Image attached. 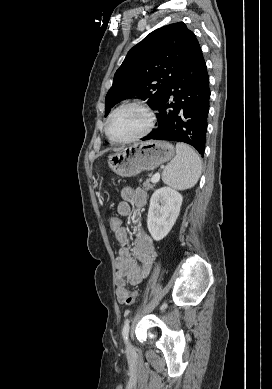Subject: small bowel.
I'll return each instance as SVG.
<instances>
[{
    "mask_svg": "<svg viewBox=\"0 0 272 389\" xmlns=\"http://www.w3.org/2000/svg\"><path fill=\"white\" fill-rule=\"evenodd\" d=\"M122 201L117 206L118 215L131 217L138 224V230L132 245L129 243V231L121 227L115 237L120 245L116 264V296L120 303L129 294V286H137L148 277L151 272L157 252L152 238L141 227V209L146 204L147 194L141 188L126 186L121 191ZM132 206L135 207L132 210ZM138 261V262H137Z\"/></svg>",
    "mask_w": 272,
    "mask_h": 389,
    "instance_id": "obj_1",
    "label": "small bowel"
}]
</instances>
